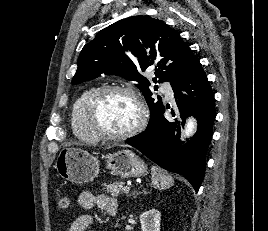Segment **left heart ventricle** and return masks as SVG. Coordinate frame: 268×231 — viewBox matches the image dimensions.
I'll return each instance as SVG.
<instances>
[{"label":"left heart ventricle","mask_w":268,"mask_h":231,"mask_svg":"<svg viewBox=\"0 0 268 231\" xmlns=\"http://www.w3.org/2000/svg\"><path fill=\"white\" fill-rule=\"evenodd\" d=\"M139 118L136 103L127 95H106L97 105L94 124L100 130L121 133L132 128Z\"/></svg>","instance_id":"obj_1"}]
</instances>
